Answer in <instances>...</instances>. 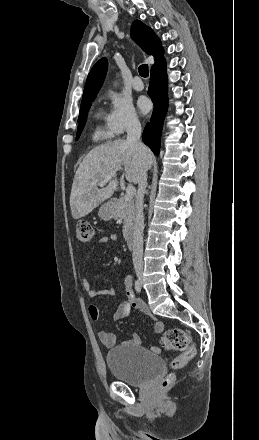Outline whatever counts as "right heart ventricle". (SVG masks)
I'll list each match as a JSON object with an SVG mask.
<instances>
[{
	"label": "right heart ventricle",
	"instance_id": "obj_1",
	"mask_svg": "<svg viewBox=\"0 0 259 440\" xmlns=\"http://www.w3.org/2000/svg\"><path fill=\"white\" fill-rule=\"evenodd\" d=\"M101 117H102V113L98 112L96 114V118L101 119ZM111 135L112 134L110 133L108 128L106 126L101 125V124H97L94 127L93 132H92V138L95 141L106 140V139L110 138Z\"/></svg>",
	"mask_w": 259,
	"mask_h": 440
}]
</instances>
